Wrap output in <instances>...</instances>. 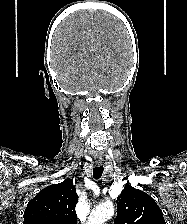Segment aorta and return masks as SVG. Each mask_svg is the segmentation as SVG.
<instances>
[{
	"label": "aorta",
	"mask_w": 187,
	"mask_h": 224,
	"mask_svg": "<svg viewBox=\"0 0 187 224\" xmlns=\"http://www.w3.org/2000/svg\"><path fill=\"white\" fill-rule=\"evenodd\" d=\"M113 215L114 205L111 202L104 203L91 212L86 224H104Z\"/></svg>",
	"instance_id": "obj_1"
}]
</instances>
